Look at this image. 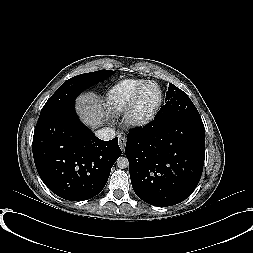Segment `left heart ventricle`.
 <instances>
[{"instance_id": "left-heart-ventricle-1", "label": "left heart ventricle", "mask_w": 253, "mask_h": 253, "mask_svg": "<svg viewBox=\"0 0 253 253\" xmlns=\"http://www.w3.org/2000/svg\"><path fill=\"white\" fill-rule=\"evenodd\" d=\"M160 98L159 90L156 86H148L141 97L140 111L143 114L150 112L158 103Z\"/></svg>"}]
</instances>
